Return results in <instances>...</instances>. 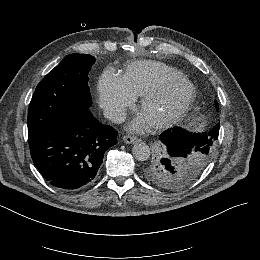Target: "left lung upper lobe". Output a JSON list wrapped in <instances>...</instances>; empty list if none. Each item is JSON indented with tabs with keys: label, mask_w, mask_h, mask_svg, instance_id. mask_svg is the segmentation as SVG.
<instances>
[{
	"label": "left lung upper lobe",
	"mask_w": 260,
	"mask_h": 260,
	"mask_svg": "<svg viewBox=\"0 0 260 260\" xmlns=\"http://www.w3.org/2000/svg\"><path fill=\"white\" fill-rule=\"evenodd\" d=\"M216 107L218 110V104ZM212 158V149L183 157H172L158 142L150 159L143 166V175L154 185L175 190L192 184L200 177Z\"/></svg>",
	"instance_id": "1"
}]
</instances>
